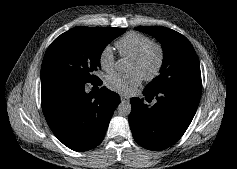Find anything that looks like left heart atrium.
<instances>
[{
	"mask_svg": "<svg viewBox=\"0 0 237 169\" xmlns=\"http://www.w3.org/2000/svg\"><path fill=\"white\" fill-rule=\"evenodd\" d=\"M141 81L142 76L136 71L127 74L114 73L107 77L106 85L115 92L129 94L140 85Z\"/></svg>",
	"mask_w": 237,
	"mask_h": 169,
	"instance_id": "left-heart-atrium-1",
	"label": "left heart atrium"
}]
</instances>
